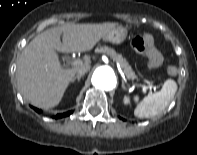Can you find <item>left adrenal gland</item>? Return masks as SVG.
<instances>
[{
	"label": "left adrenal gland",
	"instance_id": "a2214340",
	"mask_svg": "<svg viewBox=\"0 0 197 155\" xmlns=\"http://www.w3.org/2000/svg\"><path fill=\"white\" fill-rule=\"evenodd\" d=\"M122 88L126 89L124 82L122 81Z\"/></svg>",
	"mask_w": 197,
	"mask_h": 155
}]
</instances>
